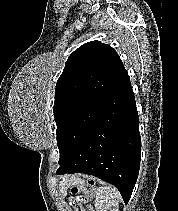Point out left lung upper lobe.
I'll list each match as a JSON object with an SVG mask.
<instances>
[{"instance_id":"1","label":"left lung upper lobe","mask_w":178,"mask_h":211,"mask_svg":"<svg viewBox=\"0 0 178 211\" xmlns=\"http://www.w3.org/2000/svg\"><path fill=\"white\" fill-rule=\"evenodd\" d=\"M125 73L116 51L98 41L83 44L69 56L56 84L53 106L59 164L95 125Z\"/></svg>"}]
</instances>
